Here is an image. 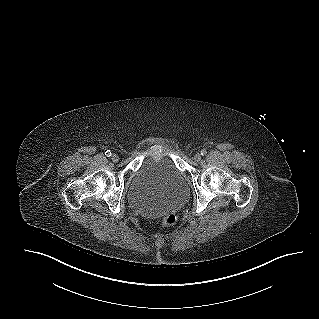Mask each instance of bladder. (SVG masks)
<instances>
[{"instance_id": "1", "label": "bladder", "mask_w": 319, "mask_h": 319, "mask_svg": "<svg viewBox=\"0 0 319 319\" xmlns=\"http://www.w3.org/2000/svg\"><path fill=\"white\" fill-rule=\"evenodd\" d=\"M186 177L167 156L146 157L135 172L127 191L128 204L139 212L169 210L187 200Z\"/></svg>"}]
</instances>
